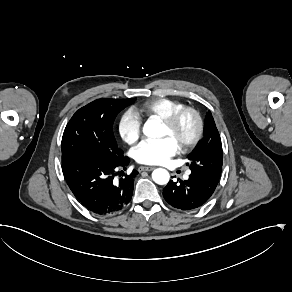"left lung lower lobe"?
Segmentation results:
<instances>
[{
  "instance_id": "obj_1",
  "label": "left lung lower lobe",
  "mask_w": 292,
  "mask_h": 292,
  "mask_svg": "<svg viewBox=\"0 0 292 292\" xmlns=\"http://www.w3.org/2000/svg\"><path fill=\"white\" fill-rule=\"evenodd\" d=\"M218 181L191 174L187 180L169 181L163 189L164 199L174 208L189 211L201 207L212 196Z\"/></svg>"
}]
</instances>
